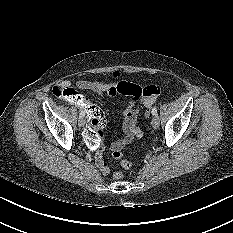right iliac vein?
<instances>
[{"label":"right iliac vein","mask_w":233,"mask_h":233,"mask_svg":"<svg viewBox=\"0 0 233 233\" xmlns=\"http://www.w3.org/2000/svg\"><path fill=\"white\" fill-rule=\"evenodd\" d=\"M85 118L84 117H80L79 119H78V125L80 126V127H83L84 125H85Z\"/></svg>","instance_id":"obj_1"}]
</instances>
